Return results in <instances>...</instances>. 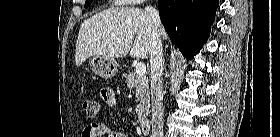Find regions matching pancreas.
Listing matches in <instances>:
<instances>
[{
	"label": "pancreas",
	"mask_w": 280,
	"mask_h": 137,
	"mask_svg": "<svg viewBox=\"0 0 280 137\" xmlns=\"http://www.w3.org/2000/svg\"><path fill=\"white\" fill-rule=\"evenodd\" d=\"M123 77L125 78L126 87L130 90L135 89L136 91L138 121L143 122L150 109L148 78L146 76H138L135 71L129 74H123Z\"/></svg>",
	"instance_id": "cf45deb5"
}]
</instances>
